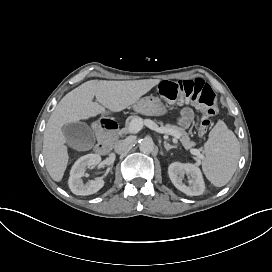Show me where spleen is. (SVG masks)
Instances as JSON below:
<instances>
[{"mask_svg": "<svg viewBox=\"0 0 272 272\" xmlns=\"http://www.w3.org/2000/svg\"><path fill=\"white\" fill-rule=\"evenodd\" d=\"M202 170L216 187L226 185L234 175L240 158V144L235 134L219 120L204 144Z\"/></svg>", "mask_w": 272, "mask_h": 272, "instance_id": "1", "label": "spleen"}]
</instances>
